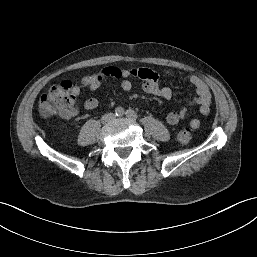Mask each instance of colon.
<instances>
[{
  "mask_svg": "<svg viewBox=\"0 0 257 257\" xmlns=\"http://www.w3.org/2000/svg\"><path fill=\"white\" fill-rule=\"evenodd\" d=\"M74 88V84L69 80L53 85L41 96L38 104L39 113L44 117L69 114L75 109ZM193 137V129L184 127L178 132L177 140L181 144H189Z\"/></svg>",
  "mask_w": 257,
  "mask_h": 257,
  "instance_id": "obj_1",
  "label": "colon"
}]
</instances>
